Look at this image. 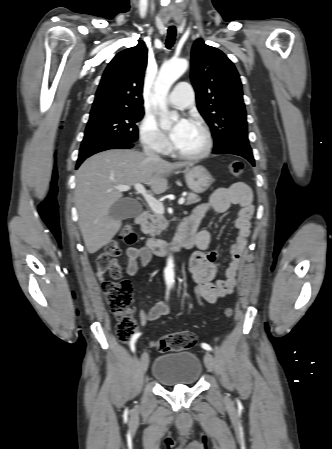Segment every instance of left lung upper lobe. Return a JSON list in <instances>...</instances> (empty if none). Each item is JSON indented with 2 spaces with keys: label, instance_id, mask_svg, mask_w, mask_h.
<instances>
[{
  "label": "left lung upper lobe",
  "instance_id": "obj_1",
  "mask_svg": "<svg viewBox=\"0 0 332 449\" xmlns=\"http://www.w3.org/2000/svg\"><path fill=\"white\" fill-rule=\"evenodd\" d=\"M191 81L197 108L211 129L214 149L249 145L242 85L230 59L197 39L191 52Z\"/></svg>",
  "mask_w": 332,
  "mask_h": 449
}]
</instances>
